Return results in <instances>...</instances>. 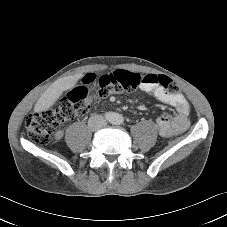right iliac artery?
Instances as JSON below:
<instances>
[{
    "label": "right iliac artery",
    "instance_id": "obj_1",
    "mask_svg": "<svg viewBox=\"0 0 227 227\" xmlns=\"http://www.w3.org/2000/svg\"><path fill=\"white\" fill-rule=\"evenodd\" d=\"M113 117H114V115H113L112 113H106V114H105V118H106L107 120H111V119H113Z\"/></svg>",
    "mask_w": 227,
    "mask_h": 227
}]
</instances>
